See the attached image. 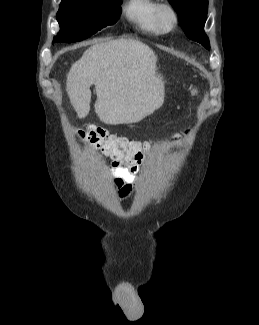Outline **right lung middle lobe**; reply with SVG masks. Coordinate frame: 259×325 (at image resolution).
Segmentation results:
<instances>
[{"label": "right lung middle lobe", "instance_id": "right-lung-middle-lobe-1", "mask_svg": "<svg viewBox=\"0 0 259 325\" xmlns=\"http://www.w3.org/2000/svg\"><path fill=\"white\" fill-rule=\"evenodd\" d=\"M121 4L122 0H62L56 16L60 31L53 43L80 41L114 24Z\"/></svg>", "mask_w": 259, "mask_h": 325}]
</instances>
